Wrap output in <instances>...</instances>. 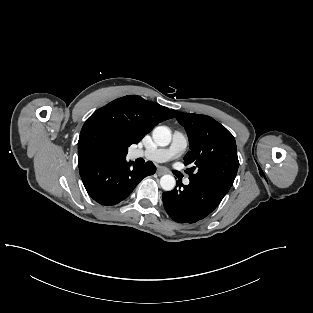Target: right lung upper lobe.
<instances>
[{
  "label": "right lung upper lobe",
  "instance_id": "cb5924a9",
  "mask_svg": "<svg viewBox=\"0 0 313 313\" xmlns=\"http://www.w3.org/2000/svg\"><path fill=\"white\" fill-rule=\"evenodd\" d=\"M173 117L167 107L136 95L108 103L96 110L82 127L78 141L79 167L125 160L130 145L139 143L158 123Z\"/></svg>",
  "mask_w": 313,
  "mask_h": 313
}]
</instances>
